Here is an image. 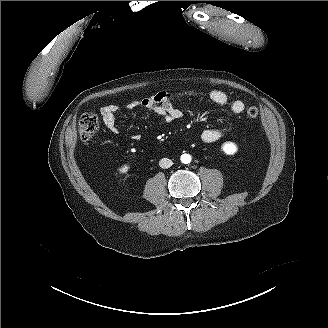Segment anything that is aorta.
<instances>
[{
	"label": "aorta",
	"mask_w": 328,
	"mask_h": 328,
	"mask_svg": "<svg viewBox=\"0 0 328 328\" xmlns=\"http://www.w3.org/2000/svg\"><path fill=\"white\" fill-rule=\"evenodd\" d=\"M181 162L184 164H189L191 162V156L189 154L181 155Z\"/></svg>",
	"instance_id": "1"
}]
</instances>
